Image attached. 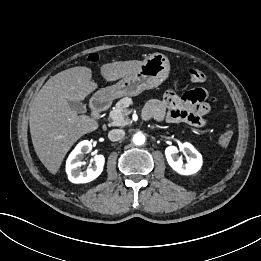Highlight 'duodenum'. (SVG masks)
<instances>
[{
	"label": "duodenum",
	"instance_id": "duodenum-1",
	"mask_svg": "<svg viewBox=\"0 0 261 261\" xmlns=\"http://www.w3.org/2000/svg\"><path fill=\"white\" fill-rule=\"evenodd\" d=\"M111 104L110 99L107 96H97L91 102V109L93 113L99 115L106 111Z\"/></svg>",
	"mask_w": 261,
	"mask_h": 261
}]
</instances>
